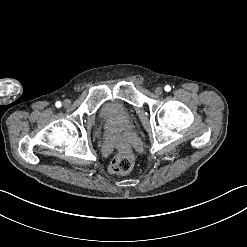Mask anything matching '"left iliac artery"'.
<instances>
[{"instance_id": "1", "label": "left iliac artery", "mask_w": 247, "mask_h": 247, "mask_svg": "<svg viewBox=\"0 0 247 247\" xmlns=\"http://www.w3.org/2000/svg\"><path fill=\"white\" fill-rule=\"evenodd\" d=\"M164 90L167 91V92H169V91L171 90V87H170L169 85H166V86L164 87Z\"/></svg>"}]
</instances>
